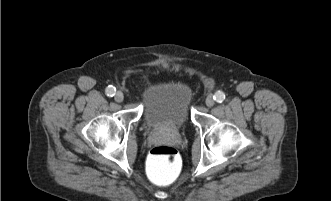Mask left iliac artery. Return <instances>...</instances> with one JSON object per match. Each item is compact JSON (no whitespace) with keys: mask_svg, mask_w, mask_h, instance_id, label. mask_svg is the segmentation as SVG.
Masks as SVG:
<instances>
[{"mask_svg":"<svg viewBox=\"0 0 331 201\" xmlns=\"http://www.w3.org/2000/svg\"><path fill=\"white\" fill-rule=\"evenodd\" d=\"M214 100L218 103H222L225 100V94L222 91H218L213 96Z\"/></svg>","mask_w":331,"mask_h":201,"instance_id":"44dca946","label":"left iliac artery"}]
</instances>
